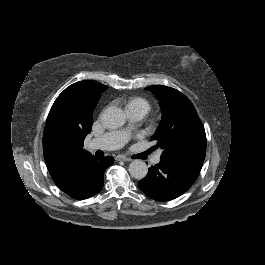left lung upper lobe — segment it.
Wrapping results in <instances>:
<instances>
[{
  "mask_svg": "<svg viewBox=\"0 0 265 265\" xmlns=\"http://www.w3.org/2000/svg\"><path fill=\"white\" fill-rule=\"evenodd\" d=\"M157 96L162 120L152 136L163 152L161 159L203 162L206 155L204 126L192 102L176 89L155 85L147 87Z\"/></svg>",
  "mask_w": 265,
  "mask_h": 265,
  "instance_id": "1",
  "label": "left lung upper lobe"
}]
</instances>
